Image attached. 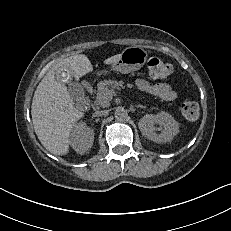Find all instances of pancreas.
<instances>
[{
  "mask_svg": "<svg viewBox=\"0 0 231 231\" xmlns=\"http://www.w3.org/2000/svg\"><path fill=\"white\" fill-rule=\"evenodd\" d=\"M124 82L122 81H113V80H104L100 81L97 84V94H96V103L101 107H108L110 105V101L112 96L109 95L110 91H114V89L123 88ZM128 87L132 88V84H128Z\"/></svg>",
  "mask_w": 231,
  "mask_h": 231,
  "instance_id": "pancreas-1",
  "label": "pancreas"
}]
</instances>
